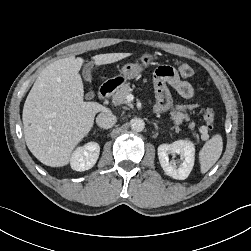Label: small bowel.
I'll use <instances>...</instances> for the list:
<instances>
[{"mask_svg": "<svg viewBox=\"0 0 251 251\" xmlns=\"http://www.w3.org/2000/svg\"><path fill=\"white\" fill-rule=\"evenodd\" d=\"M168 86L173 87L185 99H191L194 96L193 86L188 81L182 80L173 68L169 66L159 67L154 74L155 111L176 110L186 112L198 107L197 104L173 105Z\"/></svg>", "mask_w": 251, "mask_h": 251, "instance_id": "c3829d8e", "label": "small bowel"}]
</instances>
